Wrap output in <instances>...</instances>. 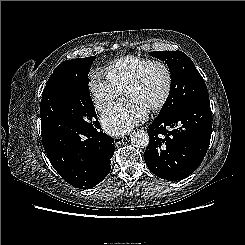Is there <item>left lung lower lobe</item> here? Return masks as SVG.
Listing matches in <instances>:
<instances>
[{
    "label": "left lung lower lobe",
    "mask_w": 245,
    "mask_h": 245,
    "mask_svg": "<svg viewBox=\"0 0 245 245\" xmlns=\"http://www.w3.org/2000/svg\"><path fill=\"white\" fill-rule=\"evenodd\" d=\"M212 131L209 99L194 100L148 127L144 153L148 169L161 179L182 180L193 173L207 152Z\"/></svg>",
    "instance_id": "0a47b994"
}]
</instances>
